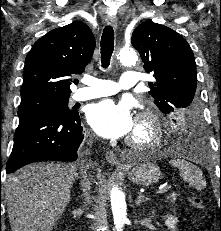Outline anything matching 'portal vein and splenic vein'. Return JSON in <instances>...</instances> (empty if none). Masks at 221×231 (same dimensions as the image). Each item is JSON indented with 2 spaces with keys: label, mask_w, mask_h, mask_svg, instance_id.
Masks as SVG:
<instances>
[{
  "label": "portal vein and splenic vein",
  "mask_w": 221,
  "mask_h": 231,
  "mask_svg": "<svg viewBox=\"0 0 221 231\" xmlns=\"http://www.w3.org/2000/svg\"><path fill=\"white\" fill-rule=\"evenodd\" d=\"M169 189H171V185L164 187L163 189L159 190L156 192L157 195L164 194L167 192Z\"/></svg>",
  "instance_id": "1"
}]
</instances>
